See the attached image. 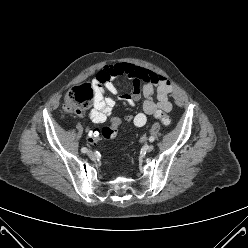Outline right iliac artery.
Segmentation results:
<instances>
[{
  "mask_svg": "<svg viewBox=\"0 0 248 248\" xmlns=\"http://www.w3.org/2000/svg\"><path fill=\"white\" fill-rule=\"evenodd\" d=\"M81 152H82V153H86V152H87V148H86V147H83V148L81 149Z\"/></svg>",
  "mask_w": 248,
  "mask_h": 248,
  "instance_id": "right-iliac-artery-1",
  "label": "right iliac artery"
}]
</instances>
